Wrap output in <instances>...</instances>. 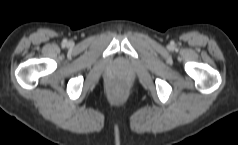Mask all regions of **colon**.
Wrapping results in <instances>:
<instances>
[{"label":"colon","instance_id":"colon-1","mask_svg":"<svg viewBox=\"0 0 238 145\" xmlns=\"http://www.w3.org/2000/svg\"><path fill=\"white\" fill-rule=\"evenodd\" d=\"M116 88H117L118 90H120V89L122 88V86H121V85H117Z\"/></svg>","mask_w":238,"mask_h":145}]
</instances>
